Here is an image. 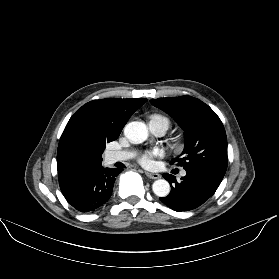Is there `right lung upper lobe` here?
<instances>
[{"instance_id": "right-lung-upper-lobe-1", "label": "right lung upper lobe", "mask_w": 279, "mask_h": 279, "mask_svg": "<svg viewBox=\"0 0 279 279\" xmlns=\"http://www.w3.org/2000/svg\"><path fill=\"white\" fill-rule=\"evenodd\" d=\"M145 98L93 100L68 121L57 150L58 179L101 167L106 143L120 135Z\"/></svg>"}]
</instances>
